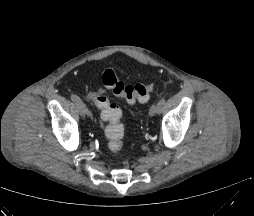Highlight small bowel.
<instances>
[{"instance_id": "obj_1", "label": "small bowel", "mask_w": 254, "mask_h": 216, "mask_svg": "<svg viewBox=\"0 0 254 216\" xmlns=\"http://www.w3.org/2000/svg\"><path fill=\"white\" fill-rule=\"evenodd\" d=\"M91 97L93 98L94 102H95V105H96V101H95V95L94 94H91ZM97 106V105H96Z\"/></svg>"}]
</instances>
